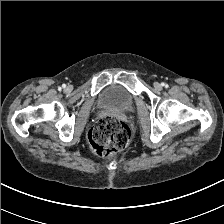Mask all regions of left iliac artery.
<instances>
[{
  "label": "left iliac artery",
  "instance_id": "left-iliac-artery-1",
  "mask_svg": "<svg viewBox=\"0 0 224 224\" xmlns=\"http://www.w3.org/2000/svg\"><path fill=\"white\" fill-rule=\"evenodd\" d=\"M162 85H163V86H165V87H167V86H168L167 84H164V83H163Z\"/></svg>",
  "mask_w": 224,
  "mask_h": 224
}]
</instances>
